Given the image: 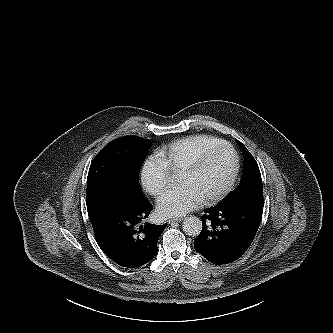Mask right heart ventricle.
<instances>
[{
	"label": "right heart ventricle",
	"mask_w": 333,
	"mask_h": 333,
	"mask_svg": "<svg viewBox=\"0 0 333 333\" xmlns=\"http://www.w3.org/2000/svg\"><path fill=\"white\" fill-rule=\"evenodd\" d=\"M221 141L223 140L211 135H192L169 143L158 154L172 172L179 173L202 151Z\"/></svg>",
	"instance_id": "obj_1"
}]
</instances>
